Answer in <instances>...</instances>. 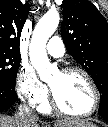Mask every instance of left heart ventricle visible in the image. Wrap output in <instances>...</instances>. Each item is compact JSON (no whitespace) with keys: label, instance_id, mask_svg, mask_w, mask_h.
<instances>
[{"label":"left heart ventricle","instance_id":"1","mask_svg":"<svg viewBox=\"0 0 108 127\" xmlns=\"http://www.w3.org/2000/svg\"><path fill=\"white\" fill-rule=\"evenodd\" d=\"M58 103L67 112L81 114L92 105V93L85 78L79 73H55L49 81Z\"/></svg>","mask_w":108,"mask_h":127}]
</instances>
